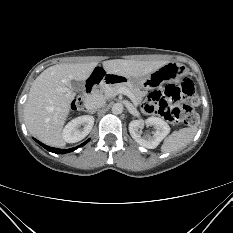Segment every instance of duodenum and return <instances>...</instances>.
<instances>
[{
  "label": "duodenum",
  "mask_w": 233,
  "mask_h": 233,
  "mask_svg": "<svg viewBox=\"0 0 233 233\" xmlns=\"http://www.w3.org/2000/svg\"><path fill=\"white\" fill-rule=\"evenodd\" d=\"M93 72L89 79L84 82V87L88 93L97 92L99 85L106 86L119 83L115 81L116 74L105 72L101 66H96Z\"/></svg>",
  "instance_id": "obj_1"
}]
</instances>
